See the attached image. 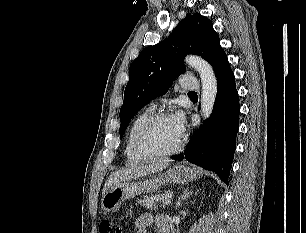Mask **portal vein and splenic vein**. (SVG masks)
Masks as SVG:
<instances>
[{
    "label": "portal vein and splenic vein",
    "mask_w": 306,
    "mask_h": 233,
    "mask_svg": "<svg viewBox=\"0 0 306 233\" xmlns=\"http://www.w3.org/2000/svg\"><path fill=\"white\" fill-rule=\"evenodd\" d=\"M171 204V199H166L163 201V206Z\"/></svg>",
    "instance_id": "1"
}]
</instances>
